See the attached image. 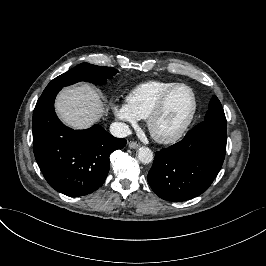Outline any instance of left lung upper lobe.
<instances>
[{
    "label": "left lung upper lobe",
    "mask_w": 266,
    "mask_h": 266,
    "mask_svg": "<svg viewBox=\"0 0 266 266\" xmlns=\"http://www.w3.org/2000/svg\"><path fill=\"white\" fill-rule=\"evenodd\" d=\"M226 118L222 105L216 96L210 100L209 110L203 122L194 128H208L217 131L226 132Z\"/></svg>",
    "instance_id": "5c2ea615"
}]
</instances>
